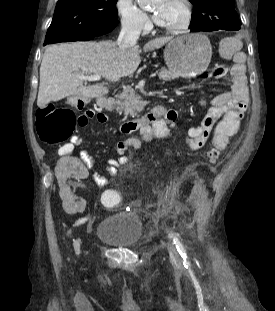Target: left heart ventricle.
I'll return each instance as SVG.
<instances>
[{
  "instance_id": "1",
  "label": "left heart ventricle",
  "mask_w": 275,
  "mask_h": 311,
  "mask_svg": "<svg viewBox=\"0 0 275 311\" xmlns=\"http://www.w3.org/2000/svg\"><path fill=\"white\" fill-rule=\"evenodd\" d=\"M152 10L162 15L163 26H177L184 20V8L177 0H157Z\"/></svg>"
}]
</instances>
